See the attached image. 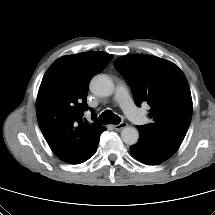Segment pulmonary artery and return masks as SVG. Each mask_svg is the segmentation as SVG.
<instances>
[{
	"instance_id": "e3ab8cb5",
	"label": "pulmonary artery",
	"mask_w": 215,
	"mask_h": 215,
	"mask_svg": "<svg viewBox=\"0 0 215 215\" xmlns=\"http://www.w3.org/2000/svg\"><path fill=\"white\" fill-rule=\"evenodd\" d=\"M114 100L120 105L127 117L138 125L145 123V116L133 104L126 87L118 84L115 89Z\"/></svg>"
}]
</instances>
